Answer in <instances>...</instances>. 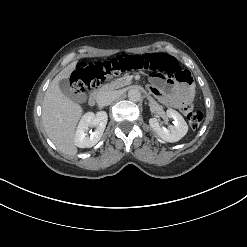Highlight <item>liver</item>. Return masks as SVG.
<instances>
[{"mask_svg":"<svg viewBox=\"0 0 247 247\" xmlns=\"http://www.w3.org/2000/svg\"><path fill=\"white\" fill-rule=\"evenodd\" d=\"M76 64L77 61L70 63L53 79L42 105V122L48 137L59 151L70 156L77 154L75 129L83 110L62 93L59 81L69 78Z\"/></svg>","mask_w":247,"mask_h":247,"instance_id":"obj_1","label":"liver"}]
</instances>
